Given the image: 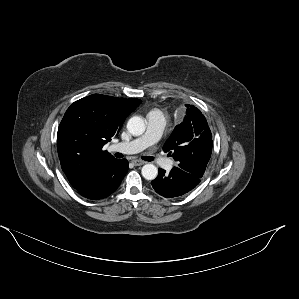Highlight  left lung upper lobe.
Segmentation results:
<instances>
[{
    "label": "left lung upper lobe",
    "mask_w": 299,
    "mask_h": 299,
    "mask_svg": "<svg viewBox=\"0 0 299 299\" xmlns=\"http://www.w3.org/2000/svg\"><path fill=\"white\" fill-rule=\"evenodd\" d=\"M184 121L177 125L163 150L172 154L178 166L202 178L212 152V134L201 111L186 105Z\"/></svg>",
    "instance_id": "obj_1"
}]
</instances>
